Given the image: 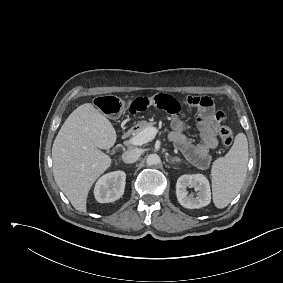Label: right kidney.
<instances>
[{"instance_id":"right-kidney-1","label":"right kidney","mask_w":283,"mask_h":283,"mask_svg":"<svg viewBox=\"0 0 283 283\" xmlns=\"http://www.w3.org/2000/svg\"><path fill=\"white\" fill-rule=\"evenodd\" d=\"M126 174L114 171L103 175L96 183L94 195L98 202L109 203L119 199L125 189Z\"/></svg>"}]
</instances>
